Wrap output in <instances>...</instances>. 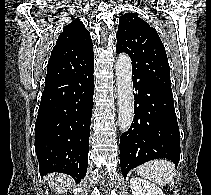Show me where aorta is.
<instances>
[{"instance_id": "762f6f07", "label": "aorta", "mask_w": 211, "mask_h": 195, "mask_svg": "<svg viewBox=\"0 0 211 195\" xmlns=\"http://www.w3.org/2000/svg\"><path fill=\"white\" fill-rule=\"evenodd\" d=\"M115 69L118 94V123L120 129L126 132L132 124L134 115L132 64L130 57L125 53H121L117 58Z\"/></svg>"}]
</instances>
